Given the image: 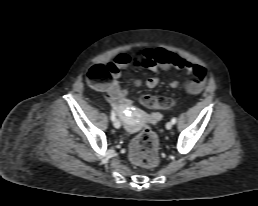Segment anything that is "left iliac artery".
Listing matches in <instances>:
<instances>
[{
	"instance_id": "obj_1",
	"label": "left iliac artery",
	"mask_w": 258,
	"mask_h": 206,
	"mask_svg": "<svg viewBox=\"0 0 258 206\" xmlns=\"http://www.w3.org/2000/svg\"><path fill=\"white\" fill-rule=\"evenodd\" d=\"M171 122L175 124L177 122V119L175 117L172 118Z\"/></svg>"
}]
</instances>
